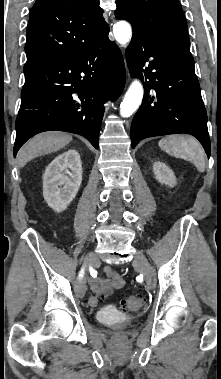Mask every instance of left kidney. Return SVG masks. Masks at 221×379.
Returning <instances> with one entry per match:
<instances>
[{
  "label": "left kidney",
  "instance_id": "left-kidney-1",
  "mask_svg": "<svg viewBox=\"0 0 221 379\" xmlns=\"http://www.w3.org/2000/svg\"><path fill=\"white\" fill-rule=\"evenodd\" d=\"M153 171L156 179L161 183L173 187L176 185L174 172L162 162L153 164Z\"/></svg>",
  "mask_w": 221,
  "mask_h": 379
}]
</instances>
